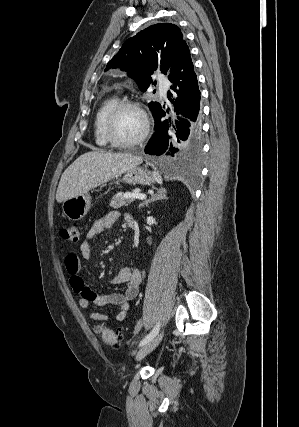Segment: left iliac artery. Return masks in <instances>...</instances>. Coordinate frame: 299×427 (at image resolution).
Returning a JSON list of instances; mask_svg holds the SVG:
<instances>
[{
	"label": "left iliac artery",
	"instance_id": "left-iliac-artery-1",
	"mask_svg": "<svg viewBox=\"0 0 299 427\" xmlns=\"http://www.w3.org/2000/svg\"><path fill=\"white\" fill-rule=\"evenodd\" d=\"M160 324L157 323L153 330L140 342L139 346H143L152 340L159 332Z\"/></svg>",
	"mask_w": 299,
	"mask_h": 427
}]
</instances>
